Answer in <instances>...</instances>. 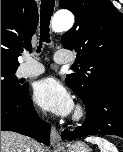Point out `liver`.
Segmentation results:
<instances>
[{
	"mask_svg": "<svg viewBox=\"0 0 123 152\" xmlns=\"http://www.w3.org/2000/svg\"><path fill=\"white\" fill-rule=\"evenodd\" d=\"M34 147L37 152H44L43 147L28 137L10 131H1V152H27Z\"/></svg>",
	"mask_w": 123,
	"mask_h": 152,
	"instance_id": "obj_1",
	"label": "liver"
}]
</instances>
